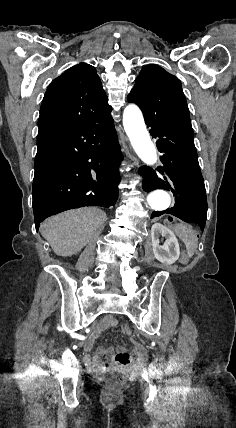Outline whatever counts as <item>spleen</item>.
Segmentation results:
<instances>
[{
  "label": "spleen",
  "instance_id": "spleen-1",
  "mask_svg": "<svg viewBox=\"0 0 236 428\" xmlns=\"http://www.w3.org/2000/svg\"><path fill=\"white\" fill-rule=\"evenodd\" d=\"M174 232L182 242H184L188 254V258H192L198 244L197 236L192 230V226L185 224H176Z\"/></svg>",
  "mask_w": 236,
  "mask_h": 428
}]
</instances>
